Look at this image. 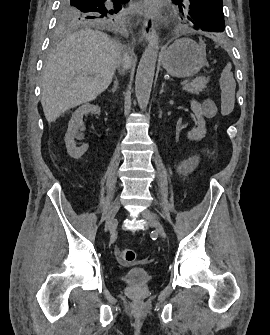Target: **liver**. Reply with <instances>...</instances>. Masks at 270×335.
<instances>
[{
	"label": "liver",
	"instance_id": "liver-1",
	"mask_svg": "<svg viewBox=\"0 0 270 335\" xmlns=\"http://www.w3.org/2000/svg\"><path fill=\"white\" fill-rule=\"evenodd\" d=\"M122 64L130 68L128 54L104 32L69 34L49 54L44 68L41 104L47 122H54L69 108L95 100L107 90Z\"/></svg>",
	"mask_w": 270,
	"mask_h": 335
}]
</instances>
